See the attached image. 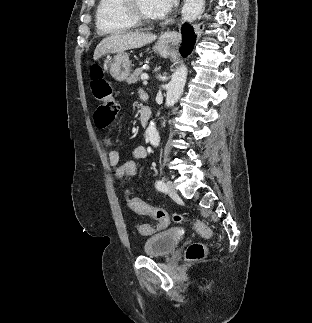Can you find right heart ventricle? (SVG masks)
<instances>
[{
    "instance_id": "right-heart-ventricle-1",
    "label": "right heart ventricle",
    "mask_w": 312,
    "mask_h": 323,
    "mask_svg": "<svg viewBox=\"0 0 312 323\" xmlns=\"http://www.w3.org/2000/svg\"><path fill=\"white\" fill-rule=\"evenodd\" d=\"M94 10V25L98 33H116V29H133V18H129V9L124 1L98 0Z\"/></svg>"
}]
</instances>
